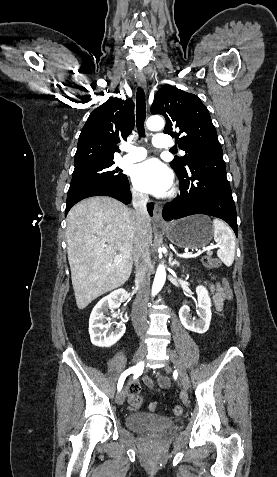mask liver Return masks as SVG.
I'll return each instance as SVG.
<instances>
[{"mask_svg":"<svg viewBox=\"0 0 277 477\" xmlns=\"http://www.w3.org/2000/svg\"><path fill=\"white\" fill-rule=\"evenodd\" d=\"M67 253L76 304L84 309L123 285L131 275L135 249L133 211L118 200L97 196L76 204L67 215ZM147 240L152 242L149 222ZM121 257L115 258V253Z\"/></svg>","mask_w":277,"mask_h":477,"instance_id":"1","label":"liver"}]
</instances>
